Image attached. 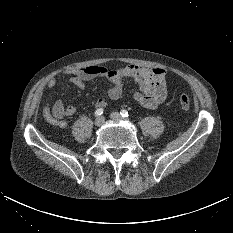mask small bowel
I'll use <instances>...</instances> for the list:
<instances>
[{
    "label": "small bowel",
    "instance_id": "c3829d8e",
    "mask_svg": "<svg viewBox=\"0 0 233 233\" xmlns=\"http://www.w3.org/2000/svg\"><path fill=\"white\" fill-rule=\"evenodd\" d=\"M95 78H105L109 81L110 87L107 94L111 100H118L122 97L126 80H131L138 85V90L134 91L132 96L134 100L147 109L157 108L167 97V73L163 68L127 65L112 69L103 65H90L67 71L65 83L84 89L85 82ZM48 85L50 88L56 87L58 79L52 78ZM95 105L98 109H103L107 106V100L99 98ZM75 112L74 106H65L60 99L54 102L49 99L42 108L43 118L58 128H65L67 122L64 117L71 116Z\"/></svg>",
    "mask_w": 233,
    "mask_h": 233
}]
</instances>
